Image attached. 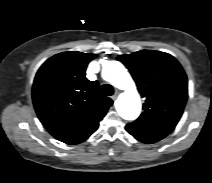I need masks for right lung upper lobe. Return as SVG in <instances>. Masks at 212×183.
<instances>
[{
    "label": "right lung upper lobe",
    "mask_w": 212,
    "mask_h": 183,
    "mask_svg": "<svg viewBox=\"0 0 212 183\" xmlns=\"http://www.w3.org/2000/svg\"><path fill=\"white\" fill-rule=\"evenodd\" d=\"M95 54L70 51L49 58L38 70L32 88L36 113L58 140L78 144L94 133L113 101L85 77Z\"/></svg>",
    "instance_id": "obj_1"
}]
</instances>
